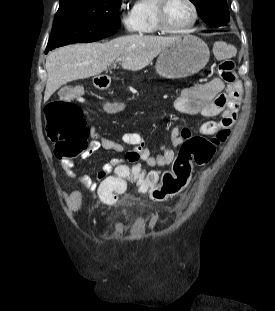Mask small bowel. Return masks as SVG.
<instances>
[{
  "label": "small bowel",
  "instance_id": "1",
  "mask_svg": "<svg viewBox=\"0 0 275 311\" xmlns=\"http://www.w3.org/2000/svg\"><path fill=\"white\" fill-rule=\"evenodd\" d=\"M229 57L236 55L232 46L227 47ZM242 87L238 80L225 84L219 77H213L207 82L191 87L183 92L176 101L175 108L184 114L201 115L204 117L220 116L219 122L206 121L199 125L201 134H212L217 128L225 125L230 127L234 122L241 100ZM191 130L187 127H174L171 131L173 148L164 145L160 147V153L152 155L146 146L143 135L140 132H126L122 135V142H118L98 133L92 134L86 151L82 158H88L100 149L110 150L117 153L124 152L127 160H141L150 167H164L170 165L176 155V149L188 138ZM124 144L132 145L133 149H125ZM124 160L112 158L106 162L97 173L96 180L88 175H78L74 172V160H63L62 167L69 178L78 182L90 191H97L98 183H103L105 175H111L116 169L123 165ZM69 187L67 184L64 186ZM71 198H80L81 192L76 188L70 192ZM65 197L67 200L70 198ZM100 198V197H99ZM68 213H83L84 207L80 200L67 201Z\"/></svg>",
  "mask_w": 275,
  "mask_h": 311
}]
</instances>
